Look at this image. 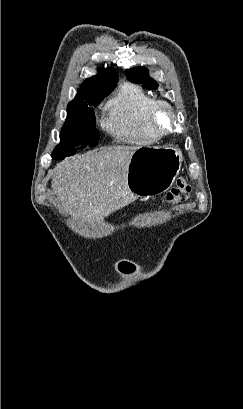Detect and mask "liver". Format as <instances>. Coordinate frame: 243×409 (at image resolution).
<instances>
[{
  "instance_id": "obj_1",
  "label": "liver",
  "mask_w": 243,
  "mask_h": 409,
  "mask_svg": "<svg viewBox=\"0 0 243 409\" xmlns=\"http://www.w3.org/2000/svg\"><path fill=\"white\" fill-rule=\"evenodd\" d=\"M138 147L112 146L67 158L52 171L57 200L75 220L90 225L135 200L126 181L128 166Z\"/></svg>"
}]
</instances>
